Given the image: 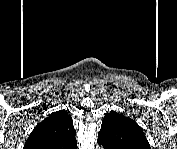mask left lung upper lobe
<instances>
[{
	"label": "left lung upper lobe",
	"mask_w": 177,
	"mask_h": 149,
	"mask_svg": "<svg viewBox=\"0 0 177 149\" xmlns=\"http://www.w3.org/2000/svg\"><path fill=\"white\" fill-rule=\"evenodd\" d=\"M98 142L106 149H149L142 128L131 118L112 111L103 118Z\"/></svg>",
	"instance_id": "5c2ea615"
}]
</instances>
